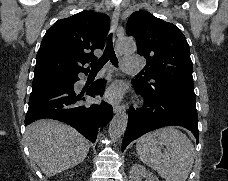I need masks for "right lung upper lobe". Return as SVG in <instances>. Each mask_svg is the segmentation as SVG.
<instances>
[{
  "mask_svg": "<svg viewBox=\"0 0 228 181\" xmlns=\"http://www.w3.org/2000/svg\"><path fill=\"white\" fill-rule=\"evenodd\" d=\"M109 27L106 14L87 10L57 21L41 42L33 81L89 70L83 65L96 59L95 49L104 48Z\"/></svg>",
  "mask_w": 228,
  "mask_h": 181,
  "instance_id": "right-lung-upper-lobe-1",
  "label": "right lung upper lobe"
}]
</instances>
